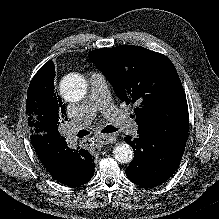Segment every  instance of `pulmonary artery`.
Segmentation results:
<instances>
[{"mask_svg": "<svg viewBox=\"0 0 219 219\" xmlns=\"http://www.w3.org/2000/svg\"><path fill=\"white\" fill-rule=\"evenodd\" d=\"M98 111H101L105 118L121 131L130 134L137 132V124L129 119L128 116L119 110L111 101L106 77L94 71L90 74L88 98L79 107L74 117V127L77 129L89 124Z\"/></svg>", "mask_w": 219, "mask_h": 219, "instance_id": "pulmonary-artery-1", "label": "pulmonary artery"}]
</instances>
